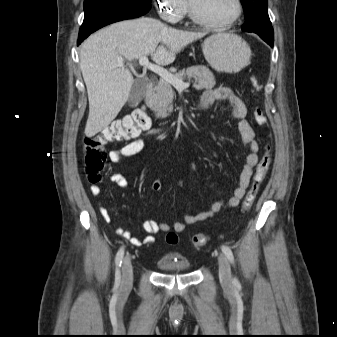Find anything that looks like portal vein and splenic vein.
I'll use <instances>...</instances> for the list:
<instances>
[{
  "label": "portal vein and splenic vein",
  "instance_id": "18ae733b",
  "mask_svg": "<svg viewBox=\"0 0 337 337\" xmlns=\"http://www.w3.org/2000/svg\"><path fill=\"white\" fill-rule=\"evenodd\" d=\"M139 64L150 71L158 74L161 78L172 84L178 91H183L184 89L188 88L190 86V83H184L182 80L177 78L175 75L164 69L163 67L152 64L149 62L147 56H143L139 58ZM118 67H124L123 59H119L117 63Z\"/></svg>",
  "mask_w": 337,
  "mask_h": 337
}]
</instances>
